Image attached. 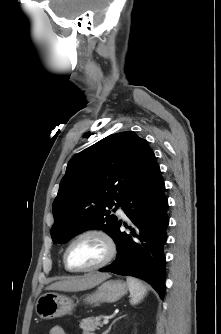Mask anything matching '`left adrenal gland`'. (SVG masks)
<instances>
[{
	"label": "left adrenal gland",
	"instance_id": "a2214340",
	"mask_svg": "<svg viewBox=\"0 0 221 334\" xmlns=\"http://www.w3.org/2000/svg\"><path fill=\"white\" fill-rule=\"evenodd\" d=\"M126 316H127V315H122V316L116 318V319L110 324L109 328H108L106 331H104L102 334H108V333L110 332L112 326L115 324V322L118 321L119 319L123 318V317H126Z\"/></svg>",
	"mask_w": 221,
	"mask_h": 334
}]
</instances>
